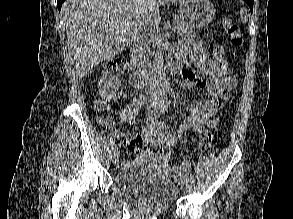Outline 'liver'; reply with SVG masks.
Segmentation results:
<instances>
[{"label":"liver","mask_w":293,"mask_h":219,"mask_svg":"<svg viewBox=\"0 0 293 219\" xmlns=\"http://www.w3.org/2000/svg\"><path fill=\"white\" fill-rule=\"evenodd\" d=\"M62 14L80 79L160 23L157 0H66Z\"/></svg>","instance_id":"liver-1"}]
</instances>
